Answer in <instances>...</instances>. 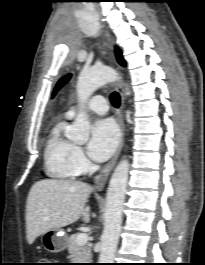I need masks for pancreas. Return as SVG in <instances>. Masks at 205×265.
Listing matches in <instances>:
<instances>
[{
    "mask_svg": "<svg viewBox=\"0 0 205 265\" xmlns=\"http://www.w3.org/2000/svg\"><path fill=\"white\" fill-rule=\"evenodd\" d=\"M78 234L71 235L67 240V248L74 263H89L91 250L88 244L78 245L76 242Z\"/></svg>",
    "mask_w": 205,
    "mask_h": 265,
    "instance_id": "pancreas-1",
    "label": "pancreas"
}]
</instances>
